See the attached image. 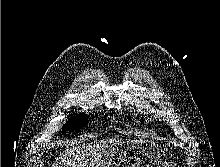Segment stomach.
Segmentation results:
<instances>
[{"label":"stomach","instance_id":"obj_1","mask_svg":"<svg viewBox=\"0 0 220 167\" xmlns=\"http://www.w3.org/2000/svg\"><path fill=\"white\" fill-rule=\"evenodd\" d=\"M110 167H169L163 149L153 142H130L116 151Z\"/></svg>","mask_w":220,"mask_h":167}]
</instances>
